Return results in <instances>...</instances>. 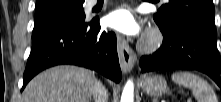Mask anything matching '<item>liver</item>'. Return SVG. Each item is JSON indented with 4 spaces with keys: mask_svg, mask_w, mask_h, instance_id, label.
Here are the masks:
<instances>
[{
    "mask_svg": "<svg viewBox=\"0 0 221 102\" xmlns=\"http://www.w3.org/2000/svg\"><path fill=\"white\" fill-rule=\"evenodd\" d=\"M95 76L70 65L50 68L33 78L23 91V102H91Z\"/></svg>",
    "mask_w": 221,
    "mask_h": 102,
    "instance_id": "6515ba94",
    "label": "liver"
}]
</instances>
